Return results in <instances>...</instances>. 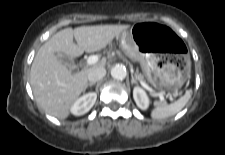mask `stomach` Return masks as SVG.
Listing matches in <instances>:
<instances>
[{
    "mask_svg": "<svg viewBox=\"0 0 225 155\" xmlns=\"http://www.w3.org/2000/svg\"><path fill=\"white\" fill-rule=\"evenodd\" d=\"M119 38L127 56L140 63L154 87H179L186 80L188 65L182 41L169 27L140 22Z\"/></svg>",
    "mask_w": 225,
    "mask_h": 155,
    "instance_id": "1",
    "label": "stomach"
}]
</instances>
